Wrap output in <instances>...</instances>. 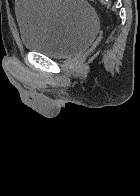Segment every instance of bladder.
Segmentation results:
<instances>
[{"label":"bladder","instance_id":"obj_1","mask_svg":"<svg viewBox=\"0 0 140 196\" xmlns=\"http://www.w3.org/2000/svg\"><path fill=\"white\" fill-rule=\"evenodd\" d=\"M14 13L23 48L52 59L84 52L99 30L85 0H15Z\"/></svg>","mask_w":140,"mask_h":196}]
</instances>
